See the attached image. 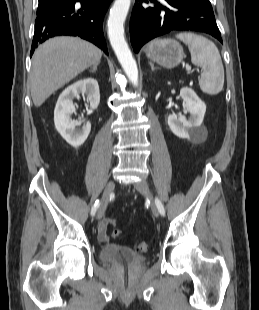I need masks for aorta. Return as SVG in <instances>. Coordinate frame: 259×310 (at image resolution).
<instances>
[{"label":"aorta","mask_w":259,"mask_h":310,"mask_svg":"<svg viewBox=\"0 0 259 310\" xmlns=\"http://www.w3.org/2000/svg\"><path fill=\"white\" fill-rule=\"evenodd\" d=\"M131 0H115L108 18V37L111 46L134 86H138V69L128 44L124 38V22L127 17Z\"/></svg>","instance_id":"1"}]
</instances>
